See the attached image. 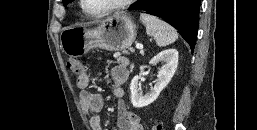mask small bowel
Masks as SVG:
<instances>
[{
	"mask_svg": "<svg viewBox=\"0 0 257 130\" xmlns=\"http://www.w3.org/2000/svg\"><path fill=\"white\" fill-rule=\"evenodd\" d=\"M128 65L127 58L119 57L111 70L112 94L119 99L117 104V130H144L140 116L128 110L122 100L124 96L123 85L129 77ZM89 84L90 75L87 72L77 77V86L81 90L79 95L80 103L89 117L92 130H103L98 113L103 108L104 100L101 94L88 90Z\"/></svg>",
	"mask_w": 257,
	"mask_h": 130,
	"instance_id": "small-bowel-1",
	"label": "small bowel"
}]
</instances>
